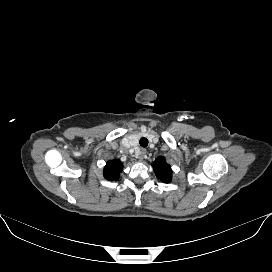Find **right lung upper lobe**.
<instances>
[{"instance_id":"right-lung-upper-lobe-1","label":"right lung upper lobe","mask_w":272,"mask_h":272,"mask_svg":"<svg viewBox=\"0 0 272 272\" xmlns=\"http://www.w3.org/2000/svg\"><path fill=\"white\" fill-rule=\"evenodd\" d=\"M122 171V164L119 160H112L108 161L105 168L103 175L105 179L117 180L119 178V173Z\"/></svg>"}]
</instances>
